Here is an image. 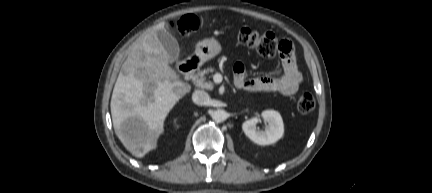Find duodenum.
<instances>
[{
	"label": "duodenum",
	"instance_id": "410a0bca",
	"mask_svg": "<svg viewBox=\"0 0 432 193\" xmlns=\"http://www.w3.org/2000/svg\"><path fill=\"white\" fill-rule=\"evenodd\" d=\"M198 67L199 60L195 57L188 58L179 64V70L185 76L196 74Z\"/></svg>",
	"mask_w": 432,
	"mask_h": 193
}]
</instances>
